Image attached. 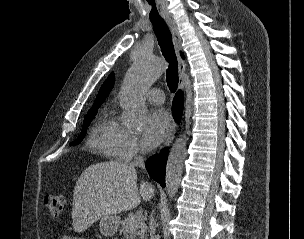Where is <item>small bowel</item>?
<instances>
[{"instance_id": "small-bowel-1", "label": "small bowel", "mask_w": 304, "mask_h": 239, "mask_svg": "<svg viewBox=\"0 0 304 239\" xmlns=\"http://www.w3.org/2000/svg\"><path fill=\"white\" fill-rule=\"evenodd\" d=\"M59 239H75V238L69 234L62 233L59 235Z\"/></svg>"}]
</instances>
